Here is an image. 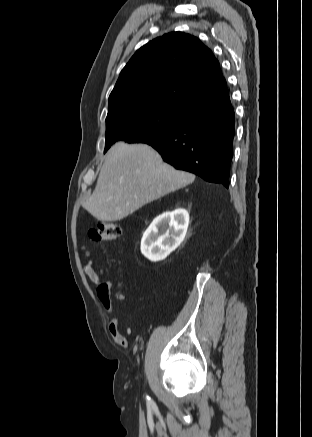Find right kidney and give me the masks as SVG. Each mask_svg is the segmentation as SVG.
Segmentation results:
<instances>
[{
	"label": "right kidney",
	"mask_w": 312,
	"mask_h": 437,
	"mask_svg": "<svg viewBox=\"0 0 312 437\" xmlns=\"http://www.w3.org/2000/svg\"><path fill=\"white\" fill-rule=\"evenodd\" d=\"M189 225L185 209H176L158 216L145 231L141 253L150 261L164 260L184 240Z\"/></svg>",
	"instance_id": "right-kidney-1"
}]
</instances>
